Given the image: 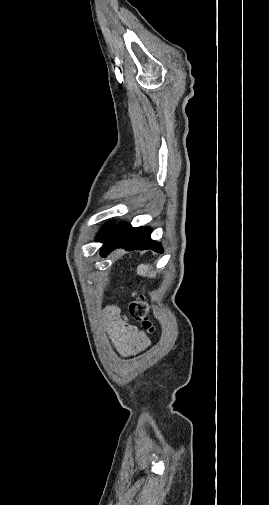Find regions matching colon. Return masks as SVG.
Wrapping results in <instances>:
<instances>
[{"label": "colon", "mask_w": 269, "mask_h": 505, "mask_svg": "<svg viewBox=\"0 0 269 505\" xmlns=\"http://www.w3.org/2000/svg\"><path fill=\"white\" fill-rule=\"evenodd\" d=\"M129 314L134 320L140 322L147 332L153 333L155 331L154 323L149 317L148 304L142 296H136L130 303Z\"/></svg>", "instance_id": "obj_1"}]
</instances>
